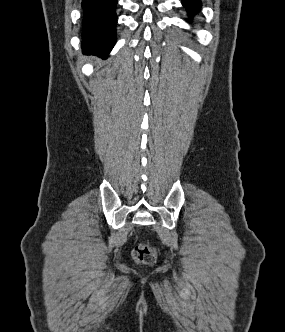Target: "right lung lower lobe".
I'll return each mask as SVG.
<instances>
[{"label": "right lung lower lobe", "mask_w": 285, "mask_h": 332, "mask_svg": "<svg viewBox=\"0 0 285 332\" xmlns=\"http://www.w3.org/2000/svg\"><path fill=\"white\" fill-rule=\"evenodd\" d=\"M117 0H83V43L86 54L106 57L115 44Z\"/></svg>", "instance_id": "1"}]
</instances>
